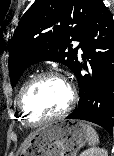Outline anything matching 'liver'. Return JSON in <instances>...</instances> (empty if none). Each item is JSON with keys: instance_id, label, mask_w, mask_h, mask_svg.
Listing matches in <instances>:
<instances>
[{"instance_id": "liver-1", "label": "liver", "mask_w": 114, "mask_h": 156, "mask_svg": "<svg viewBox=\"0 0 114 156\" xmlns=\"http://www.w3.org/2000/svg\"><path fill=\"white\" fill-rule=\"evenodd\" d=\"M36 132L30 134L27 139H25V141L22 143L21 147H20V152L23 153L28 145V143L30 142V140L32 139V137L35 135Z\"/></svg>"}]
</instances>
